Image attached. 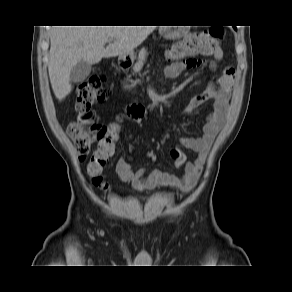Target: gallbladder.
Masks as SVG:
<instances>
[{"mask_svg":"<svg viewBox=\"0 0 292 292\" xmlns=\"http://www.w3.org/2000/svg\"><path fill=\"white\" fill-rule=\"evenodd\" d=\"M91 69H92L91 64L84 61H80L71 70V73H70L71 82L79 83V82L84 81L90 74Z\"/></svg>","mask_w":292,"mask_h":292,"instance_id":"obj_1","label":"gallbladder"}]
</instances>
